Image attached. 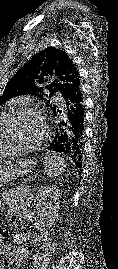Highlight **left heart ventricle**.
<instances>
[{
	"label": "left heart ventricle",
	"instance_id": "obj_1",
	"mask_svg": "<svg viewBox=\"0 0 118 269\" xmlns=\"http://www.w3.org/2000/svg\"><path fill=\"white\" fill-rule=\"evenodd\" d=\"M44 121L37 112H27L14 120L7 130L12 140L34 143L44 132Z\"/></svg>",
	"mask_w": 118,
	"mask_h": 269
}]
</instances>
